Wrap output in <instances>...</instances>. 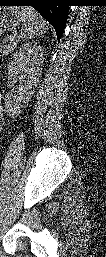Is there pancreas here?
<instances>
[{
    "label": "pancreas",
    "instance_id": "pancreas-1",
    "mask_svg": "<svg viewBox=\"0 0 106 257\" xmlns=\"http://www.w3.org/2000/svg\"><path fill=\"white\" fill-rule=\"evenodd\" d=\"M18 42H19L18 36H10V37L4 38L0 45V53L2 55H9L14 51Z\"/></svg>",
    "mask_w": 106,
    "mask_h": 257
}]
</instances>
